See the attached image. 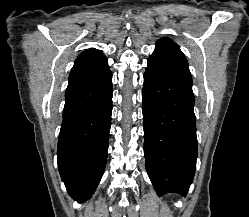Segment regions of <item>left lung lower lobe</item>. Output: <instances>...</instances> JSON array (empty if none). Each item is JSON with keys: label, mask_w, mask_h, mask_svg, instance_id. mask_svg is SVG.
Masks as SVG:
<instances>
[{"label": "left lung lower lobe", "mask_w": 249, "mask_h": 217, "mask_svg": "<svg viewBox=\"0 0 249 217\" xmlns=\"http://www.w3.org/2000/svg\"><path fill=\"white\" fill-rule=\"evenodd\" d=\"M194 101L190 71L148 59L142 91L144 155L158 195H186L193 181L197 159Z\"/></svg>", "instance_id": "obj_1"}]
</instances>
